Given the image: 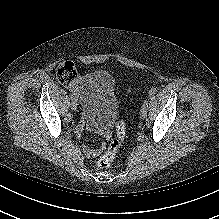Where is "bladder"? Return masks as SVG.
Listing matches in <instances>:
<instances>
[{
  "mask_svg": "<svg viewBox=\"0 0 219 219\" xmlns=\"http://www.w3.org/2000/svg\"><path fill=\"white\" fill-rule=\"evenodd\" d=\"M78 95L85 117L101 126L109 125L120 111L110 74L95 70L86 73L80 80Z\"/></svg>",
  "mask_w": 219,
  "mask_h": 219,
  "instance_id": "obj_1",
  "label": "bladder"
}]
</instances>
